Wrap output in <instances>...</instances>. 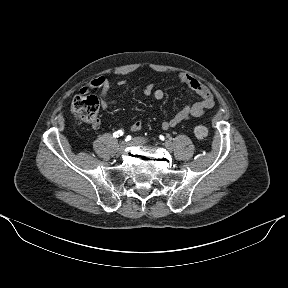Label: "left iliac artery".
<instances>
[{"label": "left iliac artery", "mask_w": 288, "mask_h": 288, "mask_svg": "<svg viewBox=\"0 0 288 288\" xmlns=\"http://www.w3.org/2000/svg\"><path fill=\"white\" fill-rule=\"evenodd\" d=\"M160 139H161V140H164V136L160 135Z\"/></svg>", "instance_id": "left-iliac-artery-1"}]
</instances>
